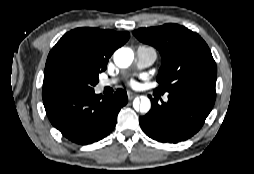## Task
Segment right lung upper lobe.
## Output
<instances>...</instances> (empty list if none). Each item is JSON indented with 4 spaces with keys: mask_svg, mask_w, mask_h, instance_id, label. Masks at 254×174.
<instances>
[{
    "mask_svg": "<svg viewBox=\"0 0 254 174\" xmlns=\"http://www.w3.org/2000/svg\"><path fill=\"white\" fill-rule=\"evenodd\" d=\"M128 32L98 28H77L66 33L50 51L44 74L59 62L74 63L90 71L102 72L113 52L129 39Z\"/></svg>",
    "mask_w": 254,
    "mask_h": 174,
    "instance_id": "cb5924a9",
    "label": "right lung upper lobe"
}]
</instances>
